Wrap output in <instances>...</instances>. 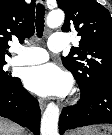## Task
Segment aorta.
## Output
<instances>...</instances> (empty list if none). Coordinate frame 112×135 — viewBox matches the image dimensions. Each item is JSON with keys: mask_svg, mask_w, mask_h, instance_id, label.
Masks as SVG:
<instances>
[{"mask_svg": "<svg viewBox=\"0 0 112 135\" xmlns=\"http://www.w3.org/2000/svg\"><path fill=\"white\" fill-rule=\"evenodd\" d=\"M64 22V12L54 10L48 14L47 25L57 28ZM59 108L54 103H49L41 119V135H58Z\"/></svg>", "mask_w": 112, "mask_h": 135, "instance_id": "aorta-1", "label": "aorta"}]
</instances>
